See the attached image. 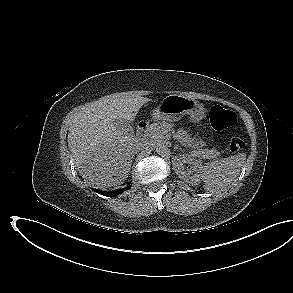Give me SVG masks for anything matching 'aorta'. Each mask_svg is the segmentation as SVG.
I'll list each match as a JSON object with an SVG mask.
<instances>
[{
	"mask_svg": "<svg viewBox=\"0 0 293 293\" xmlns=\"http://www.w3.org/2000/svg\"><path fill=\"white\" fill-rule=\"evenodd\" d=\"M168 151V147L165 143H158L157 146H156V152L159 154V155H164L166 154Z\"/></svg>",
	"mask_w": 293,
	"mask_h": 293,
	"instance_id": "obj_1",
	"label": "aorta"
}]
</instances>
